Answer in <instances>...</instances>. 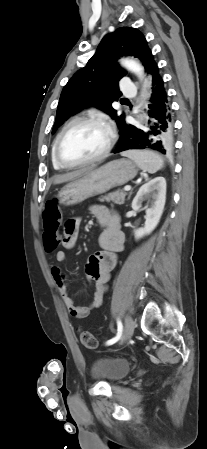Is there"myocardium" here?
<instances>
[{
	"mask_svg": "<svg viewBox=\"0 0 207 449\" xmlns=\"http://www.w3.org/2000/svg\"><path fill=\"white\" fill-rule=\"evenodd\" d=\"M80 124H93V125H98V126L103 127L108 133V141H107V144H106V147L104 148V150L97 156L87 159V160L78 161V162H68L61 156L60 146H61L62 140H63L64 136L66 135V133L74 126L80 125ZM115 140H116L115 131L105 119L98 118V117H81V118H77V119L69 122L59 133V135L57 136V139L55 141L54 155H55V158H56V161L58 162V164L60 166H62L63 168L70 169V168L82 167V166H86V165H90V164L99 162V161L103 160L104 158H106L109 155V153L111 152V150L115 144Z\"/></svg>",
	"mask_w": 207,
	"mask_h": 449,
	"instance_id": "1",
	"label": "myocardium"
}]
</instances>
